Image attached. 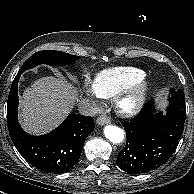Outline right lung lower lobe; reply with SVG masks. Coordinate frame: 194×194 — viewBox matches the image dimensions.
Listing matches in <instances>:
<instances>
[{
    "label": "right lung lower lobe",
    "mask_w": 194,
    "mask_h": 194,
    "mask_svg": "<svg viewBox=\"0 0 194 194\" xmlns=\"http://www.w3.org/2000/svg\"><path fill=\"white\" fill-rule=\"evenodd\" d=\"M15 77L7 102L9 134L22 157L39 170L50 173L69 172L78 163L85 139L94 129L90 116L70 114L54 131L44 136H32L20 127L17 118V86Z\"/></svg>",
    "instance_id": "right-lung-lower-lobe-1"
}]
</instances>
